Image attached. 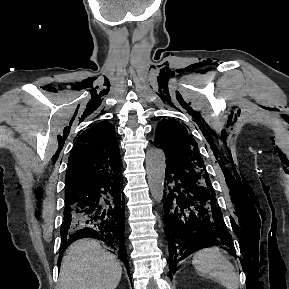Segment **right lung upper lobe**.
<instances>
[{
	"label": "right lung upper lobe",
	"mask_w": 289,
	"mask_h": 289,
	"mask_svg": "<svg viewBox=\"0 0 289 289\" xmlns=\"http://www.w3.org/2000/svg\"><path fill=\"white\" fill-rule=\"evenodd\" d=\"M121 174V159L114 126L99 122L75 141L68 159L66 195L81 193L103 178Z\"/></svg>",
	"instance_id": "right-lung-upper-lobe-1"
}]
</instances>
